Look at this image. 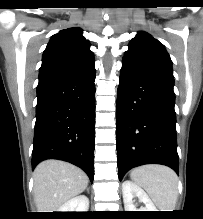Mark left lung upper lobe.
Instances as JSON below:
<instances>
[{"mask_svg":"<svg viewBox=\"0 0 203 219\" xmlns=\"http://www.w3.org/2000/svg\"><path fill=\"white\" fill-rule=\"evenodd\" d=\"M123 59L139 62L173 75L172 61L164 46L143 31L131 40L129 50Z\"/></svg>","mask_w":203,"mask_h":219,"instance_id":"5c2ea615","label":"left lung upper lobe"}]
</instances>
